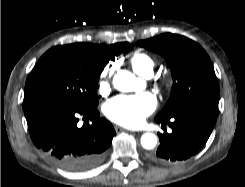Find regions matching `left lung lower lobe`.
<instances>
[{"label": "left lung lower lobe", "mask_w": 245, "mask_h": 187, "mask_svg": "<svg viewBox=\"0 0 245 187\" xmlns=\"http://www.w3.org/2000/svg\"><path fill=\"white\" fill-rule=\"evenodd\" d=\"M218 106H200L168 119L155 118L162 127L168 124L172 133H158L160 145L151 155L153 162L165 165L184 161L195 155L207 142L217 119Z\"/></svg>", "instance_id": "1"}]
</instances>
